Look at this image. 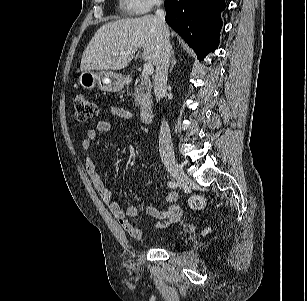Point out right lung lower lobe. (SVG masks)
Wrapping results in <instances>:
<instances>
[{
    "label": "right lung lower lobe",
    "instance_id": "98d812e1",
    "mask_svg": "<svg viewBox=\"0 0 307 301\" xmlns=\"http://www.w3.org/2000/svg\"><path fill=\"white\" fill-rule=\"evenodd\" d=\"M165 20L192 47L201 61L218 46L224 0H166ZM210 36V41L205 38Z\"/></svg>",
    "mask_w": 307,
    "mask_h": 301
}]
</instances>
